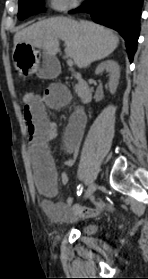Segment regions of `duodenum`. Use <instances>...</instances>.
<instances>
[{
	"mask_svg": "<svg viewBox=\"0 0 148 279\" xmlns=\"http://www.w3.org/2000/svg\"><path fill=\"white\" fill-rule=\"evenodd\" d=\"M78 91L80 100L83 104H87L92 100V89L85 80H79Z\"/></svg>",
	"mask_w": 148,
	"mask_h": 279,
	"instance_id": "410a0bca",
	"label": "duodenum"
}]
</instances>
